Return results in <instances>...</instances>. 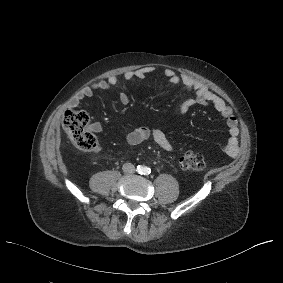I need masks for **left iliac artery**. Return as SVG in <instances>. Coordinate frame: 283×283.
Listing matches in <instances>:
<instances>
[{
  "label": "left iliac artery",
  "mask_w": 283,
  "mask_h": 283,
  "mask_svg": "<svg viewBox=\"0 0 283 283\" xmlns=\"http://www.w3.org/2000/svg\"><path fill=\"white\" fill-rule=\"evenodd\" d=\"M145 172L149 174L150 173L149 168H147Z\"/></svg>",
  "instance_id": "1"
}]
</instances>
